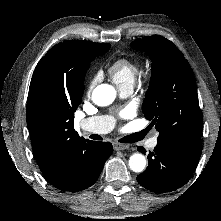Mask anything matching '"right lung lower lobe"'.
<instances>
[{
	"instance_id": "98d812e1",
	"label": "right lung lower lobe",
	"mask_w": 221,
	"mask_h": 221,
	"mask_svg": "<svg viewBox=\"0 0 221 221\" xmlns=\"http://www.w3.org/2000/svg\"><path fill=\"white\" fill-rule=\"evenodd\" d=\"M112 153L110 142L91 141L75 152L70 163V175L56 188L67 192H78L93 185Z\"/></svg>"
}]
</instances>
